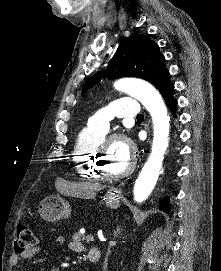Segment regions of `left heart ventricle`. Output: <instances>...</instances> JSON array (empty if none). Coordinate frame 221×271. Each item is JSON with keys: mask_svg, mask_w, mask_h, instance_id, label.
<instances>
[{"mask_svg": "<svg viewBox=\"0 0 221 271\" xmlns=\"http://www.w3.org/2000/svg\"><path fill=\"white\" fill-rule=\"evenodd\" d=\"M129 163L130 160L126 156H108V160L104 161L109 175H124L123 168H127Z\"/></svg>", "mask_w": 221, "mask_h": 271, "instance_id": "b2bd125f", "label": "left heart ventricle"}]
</instances>
